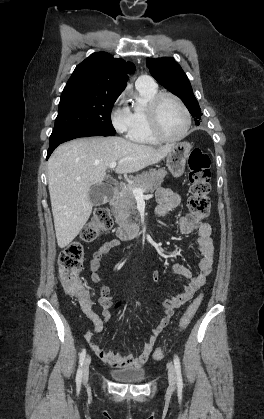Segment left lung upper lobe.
<instances>
[{"mask_svg": "<svg viewBox=\"0 0 264 419\" xmlns=\"http://www.w3.org/2000/svg\"><path fill=\"white\" fill-rule=\"evenodd\" d=\"M151 75L166 89L177 95L186 105L195 121L201 119V109L195 98L191 84L180 65L169 57L147 58Z\"/></svg>", "mask_w": 264, "mask_h": 419, "instance_id": "obj_1", "label": "left lung upper lobe"}]
</instances>
